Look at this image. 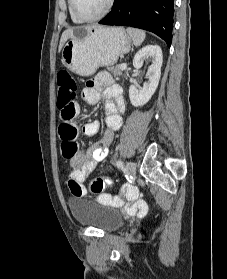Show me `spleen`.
<instances>
[{"label":"spleen","instance_id":"1","mask_svg":"<svg viewBox=\"0 0 227 279\" xmlns=\"http://www.w3.org/2000/svg\"><path fill=\"white\" fill-rule=\"evenodd\" d=\"M127 32L135 46H140L146 36L144 31L135 28H127Z\"/></svg>","mask_w":227,"mask_h":279}]
</instances>
